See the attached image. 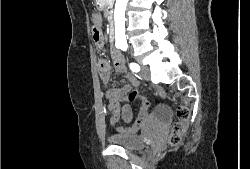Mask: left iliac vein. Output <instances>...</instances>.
<instances>
[{
  "mask_svg": "<svg viewBox=\"0 0 250 169\" xmlns=\"http://www.w3.org/2000/svg\"><path fill=\"white\" fill-rule=\"evenodd\" d=\"M139 75L142 79L149 81L150 80L149 68L147 66H143Z\"/></svg>",
  "mask_w": 250,
  "mask_h": 169,
  "instance_id": "1",
  "label": "left iliac vein"
}]
</instances>
